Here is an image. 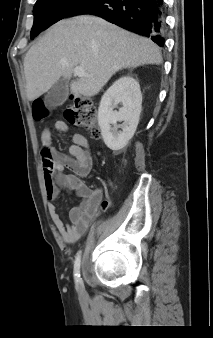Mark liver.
I'll list each match as a JSON object with an SVG mask.
<instances>
[{"label":"liver","instance_id":"6515ba94","mask_svg":"<svg viewBox=\"0 0 213 338\" xmlns=\"http://www.w3.org/2000/svg\"><path fill=\"white\" fill-rule=\"evenodd\" d=\"M161 63L160 48L150 39L99 17L77 16L53 25L27 52V98L37 99L61 77L70 79L75 67L89 76L71 81V93L92 97L121 69Z\"/></svg>","mask_w":213,"mask_h":338}]
</instances>
